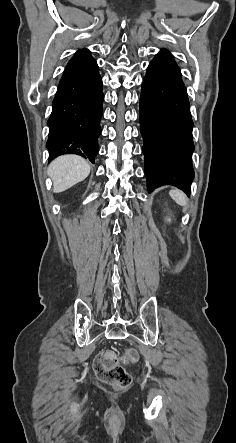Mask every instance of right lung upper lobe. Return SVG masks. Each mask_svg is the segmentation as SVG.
<instances>
[{
    "label": "right lung upper lobe",
    "mask_w": 236,
    "mask_h": 443,
    "mask_svg": "<svg viewBox=\"0 0 236 443\" xmlns=\"http://www.w3.org/2000/svg\"><path fill=\"white\" fill-rule=\"evenodd\" d=\"M74 57L92 58V56L90 55V51L87 49L78 50L75 53Z\"/></svg>",
    "instance_id": "obj_1"
}]
</instances>
